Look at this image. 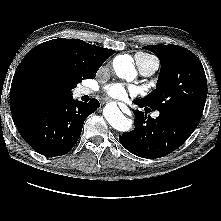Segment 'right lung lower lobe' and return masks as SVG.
I'll return each instance as SVG.
<instances>
[{
  "label": "right lung lower lobe",
  "mask_w": 221,
  "mask_h": 221,
  "mask_svg": "<svg viewBox=\"0 0 221 221\" xmlns=\"http://www.w3.org/2000/svg\"><path fill=\"white\" fill-rule=\"evenodd\" d=\"M98 107L97 99L83 103L70 97L22 106L12 117L21 136L34 150L46 156H61L73 148L85 119Z\"/></svg>",
  "instance_id": "right-lung-lower-lobe-1"
}]
</instances>
